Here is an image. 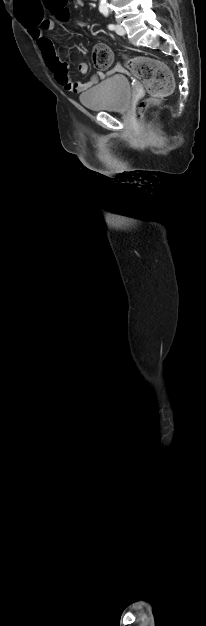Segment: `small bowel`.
<instances>
[{
    "label": "small bowel",
    "instance_id": "c3829d8e",
    "mask_svg": "<svg viewBox=\"0 0 206 626\" xmlns=\"http://www.w3.org/2000/svg\"><path fill=\"white\" fill-rule=\"evenodd\" d=\"M76 5L78 7L83 6V0H76ZM53 27V21L50 19H40L36 24H28L27 26V28H29L30 36L36 42L45 63L47 64L50 71L53 73L56 81L67 91L74 94H82L84 91L96 84L99 80L104 79L106 75L102 72H97L87 82H75L69 74L68 63L58 58L55 52L53 42L44 34L45 31H50L53 29ZM120 69L121 66L117 65L113 71H118ZM78 70L81 74H86L88 72L87 64L85 62H79ZM113 71H111L110 73H112Z\"/></svg>",
    "mask_w": 206,
    "mask_h": 626
}]
</instances>
